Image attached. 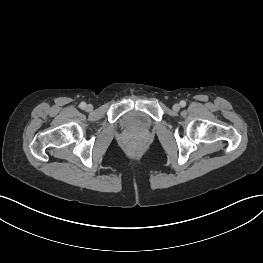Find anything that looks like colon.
Segmentation results:
<instances>
[{
	"label": "colon",
	"mask_w": 263,
	"mask_h": 263,
	"mask_svg": "<svg viewBox=\"0 0 263 263\" xmlns=\"http://www.w3.org/2000/svg\"><path fill=\"white\" fill-rule=\"evenodd\" d=\"M127 151L131 155H138L141 151V147L137 142L131 141L126 146Z\"/></svg>",
	"instance_id": "1"
}]
</instances>
